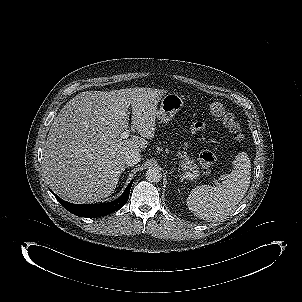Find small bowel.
<instances>
[{
	"label": "small bowel",
	"instance_id": "obj_1",
	"mask_svg": "<svg viewBox=\"0 0 302 302\" xmlns=\"http://www.w3.org/2000/svg\"><path fill=\"white\" fill-rule=\"evenodd\" d=\"M193 128L195 130H200L201 128H203V124L201 122H197L194 124Z\"/></svg>",
	"mask_w": 302,
	"mask_h": 302
}]
</instances>
